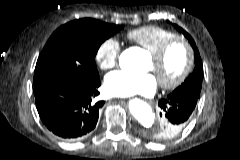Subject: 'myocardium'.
I'll list each match as a JSON object with an SVG mask.
<instances>
[{
    "label": "myocardium",
    "mask_w": 240,
    "mask_h": 160,
    "mask_svg": "<svg viewBox=\"0 0 240 160\" xmlns=\"http://www.w3.org/2000/svg\"><path fill=\"white\" fill-rule=\"evenodd\" d=\"M176 45H180L184 48L186 53V61L183 69L174 80L170 82L159 81L161 88L164 90H175L180 87L190 75L194 65V50L186 39L180 37H174L164 42L157 51L151 53L152 61L156 65L162 64L166 59L169 51Z\"/></svg>",
    "instance_id": "1"
}]
</instances>
